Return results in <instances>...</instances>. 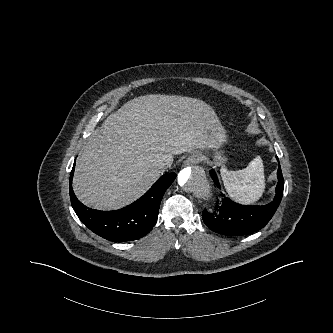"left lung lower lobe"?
<instances>
[{
	"mask_svg": "<svg viewBox=\"0 0 333 333\" xmlns=\"http://www.w3.org/2000/svg\"><path fill=\"white\" fill-rule=\"evenodd\" d=\"M210 175L220 188L214 170H210ZM277 176L276 196L269 204L262 206L240 205L228 198H223L224 196L221 194L217 196L212 211H203L204 223L214 232L232 236L251 234L265 227L278 208L283 195L284 179L280 165Z\"/></svg>",
	"mask_w": 333,
	"mask_h": 333,
	"instance_id": "left-lung-lower-lobe-1",
	"label": "left lung lower lobe"
}]
</instances>
